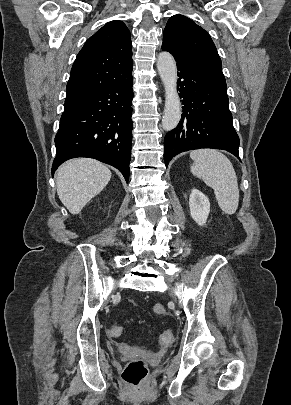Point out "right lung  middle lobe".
I'll return each mask as SVG.
<instances>
[{"label":"right lung middle lobe","mask_w":291,"mask_h":405,"mask_svg":"<svg viewBox=\"0 0 291 405\" xmlns=\"http://www.w3.org/2000/svg\"><path fill=\"white\" fill-rule=\"evenodd\" d=\"M68 106L67 105H64V109H66Z\"/></svg>","instance_id":"1"}]
</instances>
